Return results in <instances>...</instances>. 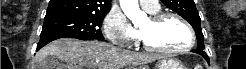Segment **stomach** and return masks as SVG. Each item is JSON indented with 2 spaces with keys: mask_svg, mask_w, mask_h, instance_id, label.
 <instances>
[{
  "mask_svg": "<svg viewBox=\"0 0 246 69\" xmlns=\"http://www.w3.org/2000/svg\"><path fill=\"white\" fill-rule=\"evenodd\" d=\"M155 69H185V67L177 59L165 58L158 61Z\"/></svg>",
  "mask_w": 246,
  "mask_h": 69,
  "instance_id": "1",
  "label": "stomach"
}]
</instances>
